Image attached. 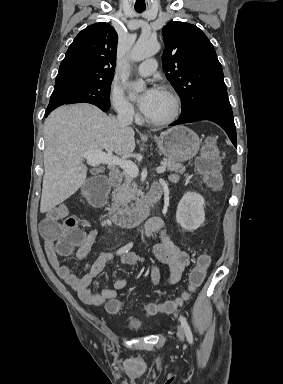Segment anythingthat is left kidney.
<instances>
[{"mask_svg": "<svg viewBox=\"0 0 283 384\" xmlns=\"http://www.w3.org/2000/svg\"><path fill=\"white\" fill-rule=\"evenodd\" d=\"M204 198L196 192H187L180 200L176 212V220L187 232L200 228L205 220Z\"/></svg>", "mask_w": 283, "mask_h": 384, "instance_id": "5707ae66", "label": "left kidney"}]
</instances>
